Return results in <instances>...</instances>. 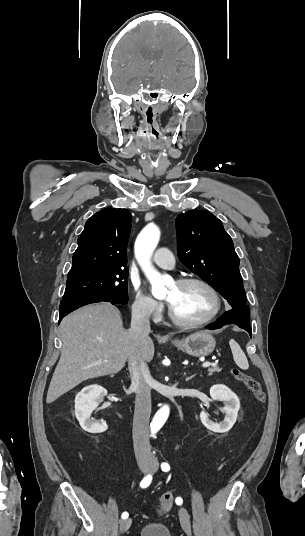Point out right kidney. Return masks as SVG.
<instances>
[{
    "instance_id": "ca27d5eb",
    "label": "right kidney",
    "mask_w": 305,
    "mask_h": 536,
    "mask_svg": "<svg viewBox=\"0 0 305 536\" xmlns=\"http://www.w3.org/2000/svg\"><path fill=\"white\" fill-rule=\"evenodd\" d=\"M105 392L101 386H86L75 398V412L81 428L91 434H99L105 430L104 422H93L90 416L100 402V396Z\"/></svg>"
}]
</instances>
